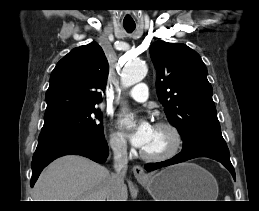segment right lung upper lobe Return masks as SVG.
<instances>
[{"label": "right lung upper lobe", "instance_id": "obj_1", "mask_svg": "<svg viewBox=\"0 0 259 211\" xmlns=\"http://www.w3.org/2000/svg\"><path fill=\"white\" fill-rule=\"evenodd\" d=\"M108 71V61L96 42L70 51L50 76L44 123L95 107L102 101Z\"/></svg>", "mask_w": 259, "mask_h": 211}]
</instances>
